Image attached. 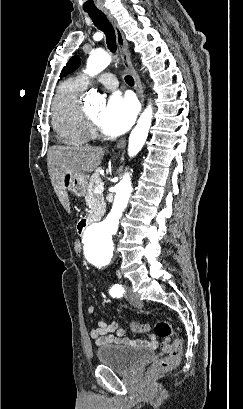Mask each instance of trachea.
<instances>
[{"label":"trachea","mask_w":243,"mask_h":409,"mask_svg":"<svg viewBox=\"0 0 243 409\" xmlns=\"http://www.w3.org/2000/svg\"><path fill=\"white\" fill-rule=\"evenodd\" d=\"M90 18L92 19L94 25L100 29L101 31L104 32L106 35V43L108 46V49L115 53L116 52V36H115V31L111 23L108 21L106 15L102 11H93V12H87ZM125 82L133 86L134 85V79L127 75L125 76Z\"/></svg>","instance_id":"obj_1"}]
</instances>
